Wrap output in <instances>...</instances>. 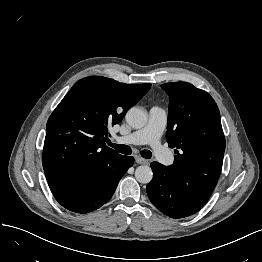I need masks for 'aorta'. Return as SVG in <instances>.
Instances as JSON below:
<instances>
[{"instance_id": "762f6f07", "label": "aorta", "mask_w": 262, "mask_h": 262, "mask_svg": "<svg viewBox=\"0 0 262 262\" xmlns=\"http://www.w3.org/2000/svg\"><path fill=\"white\" fill-rule=\"evenodd\" d=\"M127 123L134 129L142 128L147 123V114L138 107H132L126 113ZM135 178L139 183L148 184L153 178L151 167L141 165L135 170Z\"/></svg>"}]
</instances>
